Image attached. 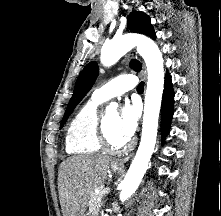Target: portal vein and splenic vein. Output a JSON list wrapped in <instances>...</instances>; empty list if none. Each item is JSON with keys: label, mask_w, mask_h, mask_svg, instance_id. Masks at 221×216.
Segmentation results:
<instances>
[{"label": "portal vein and splenic vein", "mask_w": 221, "mask_h": 216, "mask_svg": "<svg viewBox=\"0 0 221 216\" xmlns=\"http://www.w3.org/2000/svg\"><path fill=\"white\" fill-rule=\"evenodd\" d=\"M109 188H105V189H103V194L105 195V194H107L108 192H109Z\"/></svg>", "instance_id": "18ae733b"}]
</instances>
